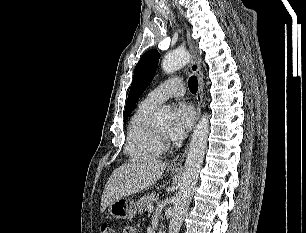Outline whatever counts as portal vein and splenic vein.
<instances>
[{
  "label": "portal vein and splenic vein",
  "mask_w": 306,
  "mask_h": 233,
  "mask_svg": "<svg viewBox=\"0 0 306 233\" xmlns=\"http://www.w3.org/2000/svg\"><path fill=\"white\" fill-rule=\"evenodd\" d=\"M147 210H148L149 212L153 211V210H154L153 205H149V206L147 207Z\"/></svg>",
  "instance_id": "obj_1"
}]
</instances>
